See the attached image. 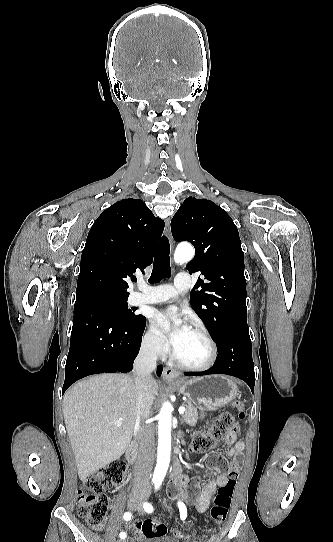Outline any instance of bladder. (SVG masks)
<instances>
[{"mask_svg": "<svg viewBox=\"0 0 333 542\" xmlns=\"http://www.w3.org/2000/svg\"><path fill=\"white\" fill-rule=\"evenodd\" d=\"M146 542H180L171 535H156L146 538Z\"/></svg>", "mask_w": 333, "mask_h": 542, "instance_id": "31cf9c89", "label": "bladder"}]
</instances>
